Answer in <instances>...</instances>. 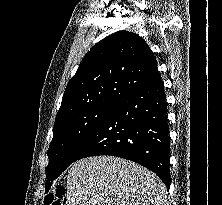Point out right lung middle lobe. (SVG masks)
<instances>
[{"label":"right lung middle lobe","mask_w":222,"mask_h":205,"mask_svg":"<svg viewBox=\"0 0 222 205\" xmlns=\"http://www.w3.org/2000/svg\"><path fill=\"white\" fill-rule=\"evenodd\" d=\"M118 103L109 101L93 105L55 122L53 139L47 151L46 185H51L74 162L82 146Z\"/></svg>","instance_id":"obj_1"}]
</instances>
